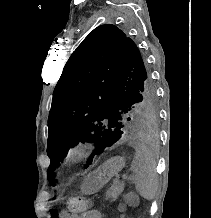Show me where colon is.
Returning a JSON list of instances; mask_svg holds the SVG:
<instances>
[{
    "label": "colon",
    "mask_w": 211,
    "mask_h": 218,
    "mask_svg": "<svg viewBox=\"0 0 211 218\" xmlns=\"http://www.w3.org/2000/svg\"><path fill=\"white\" fill-rule=\"evenodd\" d=\"M87 208V201L84 198H72L68 202V209L72 213H77L84 211ZM60 216L55 215L54 218H58Z\"/></svg>",
    "instance_id": "5ec220e1"
}]
</instances>
